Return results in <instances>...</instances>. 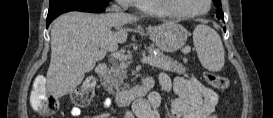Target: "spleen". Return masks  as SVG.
<instances>
[{"label": "spleen", "mask_w": 273, "mask_h": 118, "mask_svg": "<svg viewBox=\"0 0 273 118\" xmlns=\"http://www.w3.org/2000/svg\"><path fill=\"white\" fill-rule=\"evenodd\" d=\"M193 43L204 68L211 72H218L223 68L224 47L214 29L204 24L197 25L193 32Z\"/></svg>", "instance_id": "obj_1"}]
</instances>
